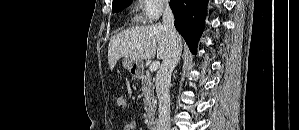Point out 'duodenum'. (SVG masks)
Instances as JSON below:
<instances>
[{"label": "duodenum", "mask_w": 299, "mask_h": 130, "mask_svg": "<svg viewBox=\"0 0 299 130\" xmlns=\"http://www.w3.org/2000/svg\"><path fill=\"white\" fill-rule=\"evenodd\" d=\"M148 125L150 130H159V119L155 116L149 117Z\"/></svg>", "instance_id": "duodenum-1"}]
</instances>
